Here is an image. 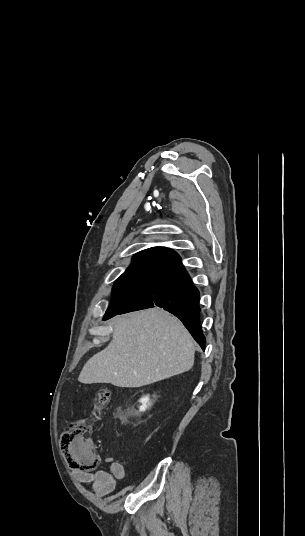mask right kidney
<instances>
[{"label":"right kidney","mask_w":305,"mask_h":536,"mask_svg":"<svg viewBox=\"0 0 305 536\" xmlns=\"http://www.w3.org/2000/svg\"><path fill=\"white\" fill-rule=\"evenodd\" d=\"M139 402H141V404H142L141 412H144V410H146V408H148V406H150V400H149L148 396H144V398H141V400H139Z\"/></svg>","instance_id":"obj_1"}]
</instances>
